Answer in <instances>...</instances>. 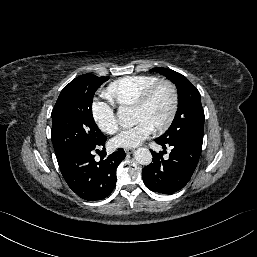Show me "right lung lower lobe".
Returning a JSON list of instances; mask_svg holds the SVG:
<instances>
[{
  "instance_id": "1",
  "label": "right lung lower lobe",
  "mask_w": 257,
  "mask_h": 257,
  "mask_svg": "<svg viewBox=\"0 0 257 257\" xmlns=\"http://www.w3.org/2000/svg\"><path fill=\"white\" fill-rule=\"evenodd\" d=\"M106 140L98 146H104ZM98 146L86 150L73 149L57 158L68 186L79 197L88 201L101 200L111 194L116 185L117 166L126 157L124 150L119 148L96 162L93 153L98 151Z\"/></svg>"
}]
</instances>
